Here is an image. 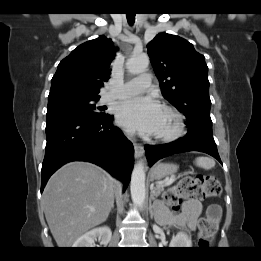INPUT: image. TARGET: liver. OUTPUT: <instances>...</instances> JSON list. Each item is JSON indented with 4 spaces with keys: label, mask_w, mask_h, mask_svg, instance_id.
Segmentation results:
<instances>
[{
    "label": "liver",
    "mask_w": 261,
    "mask_h": 261,
    "mask_svg": "<svg viewBox=\"0 0 261 261\" xmlns=\"http://www.w3.org/2000/svg\"><path fill=\"white\" fill-rule=\"evenodd\" d=\"M115 184L110 174L87 162L68 163L50 178L42 203L58 247H70L106 221L114 205Z\"/></svg>",
    "instance_id": "1"
}]
</instances>
